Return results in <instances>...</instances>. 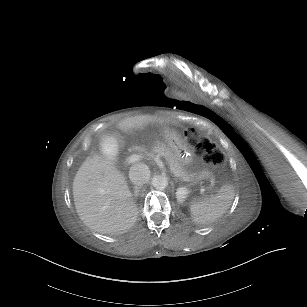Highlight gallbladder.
Wrapping results in <instances>:
<instances>
[{"label": "gallbladder", "instance_id": "bac80fb5", "mask_svg": "<svg viewBox=\"0 0 307 307\" xmlns=\"http://www.w3.org/2000/svg\"><path fill=\"white\" fill-rule=\"evenodd\" d=\"M123 146V138L118 133H112L105 137L102 141L103 153L110 161L116 159L119 151Z\"/></svg>", "mask_w": 307, "mask_h": 307}]
</instances>
